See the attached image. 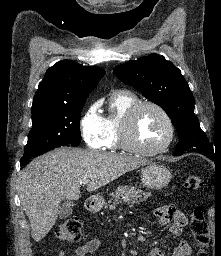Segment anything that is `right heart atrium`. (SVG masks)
Returning a JSON list of instances; mask_svg holds the SVG:
<instances>
[{
  "instance_id": "d8ad5b80",
  "label": "right heart atrium",
  "mask_w": 221,
  "mask_h": 256,
  "mask_svg": "<svg viewBox=\"0 0 221 256\" xmlns=\"http://www.w3.org/2000/svg\"><path fill=\"white\" fill-rule=\"evenodd\" d=\"M80 132L85 144L94 149L105 145L106 129L104 117L100 114L98 103L90 104L79 121Z\"/></svg>"
}]
</instances>
